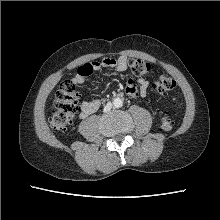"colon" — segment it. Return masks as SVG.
<instances>
[{
    "instance_id": "obj_1",
    "label": "colon",
    "mask_w": 220,
    "mask_h": 220,
    "mask_svg": "<svg viewBox=\"0 0 220 220\" xmlns=\"http://www.w3.org/2000/svg\"><path fill=\"white\" fill-rule=\"evenodd\" d=\"M129 67L135 76H146L151 66L149 63L141 59H130ZM89 72V70L87 71ZM127 83H134L132 78L128 79ZM174 79L163 74L155 82V89L160 94H166L175 88ZM79 95L76 90V85L72 81H64L54 99V108L51 115V125L56 131H64L72 123L75 114L78 111ZM159 126L163 131H170L173 128V122L169 112L165 111L159 121Z\"/></svg>"
}]
</instances>
